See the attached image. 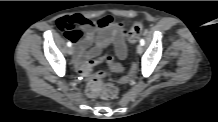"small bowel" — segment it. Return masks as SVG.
<instances>
[{
	"mask_svg": "<svg viewBox=\"0 0 218 122\" xmlns=\"http://www.w3.org/2000/svg\"><path fill=\"white\" fill-rule=\"evenodd\" d=\"M80 32V36L72 41L76 44V62L74 72L97 53H102L109 45H113L116 56L123 60L127 56V31L122 23L114 17L105 16L93 22L82 15L65 17ZM83 33V38H82Z\"/></svg>",
	"mask_w": 218,
	"mask_h": 122,
	"instance_id": "1",
	"label": "small bowel"
}]
</instances>
